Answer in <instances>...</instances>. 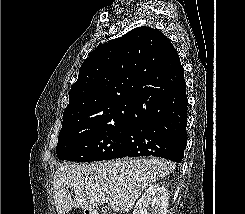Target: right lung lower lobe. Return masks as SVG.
Here are the masks:
<instances>
[{"instance_id":"98d812e1","label":"right lung lower lobe","mask_w":245,"mask_h":214,"mask_svg":"<svg viewBox=\"0 0 245 214\" xmlns=\"http://www.w3.org/2000/svg\"><path fill=\"white\" fill-rule=\"evenodd\" d=\"M168 86L149 98L132 118L125 143L116 158L155 156L180 162L187 145L186 83L176 54L168 72Z\"/></svg>"}]
</instances>
